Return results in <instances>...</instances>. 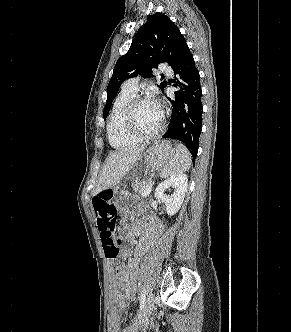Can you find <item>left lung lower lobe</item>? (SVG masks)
<instances>
[{
	"label": "left lung lower lobe",
	"mask_w": 291,
	"mask_h": 332,
	"mask_svg": "<svg viewBox=\"0 0 291 332\" xmlns=\"http://www.w3.org/2000/svg\"><path fill=\"white\" fill-rule=\"evenodd\" d=\"M172 69L174 74L178 75L173 81L174 86L180 87V91L175 93L173 100L170 99L172 115L169 128L163 137L185 143L195 160L198 151V146L195 144L199 143L202 130L203 106L200 75L188 46Z\"/></svg>",
	"instance_id": "0a47b994"
}]
</instances>
